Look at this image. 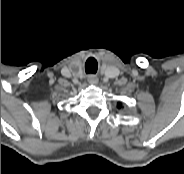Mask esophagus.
<instances>
[{"mask_svg": "<svg viewBox=\"0 0 184 174\" xmlns=\"http://www.w3.org/2000/svg\"><path fill=\"white\" fill-rule=\"evenodd\" d=\"M88 82H89L90 84H97V83H98V78H97V76H95V75H89V76H88Z\"/></svg>", "mask_w": 184, "mask_h": 174, "instance_id": "34e87169", "label": "esophagus"}]
</instances>
